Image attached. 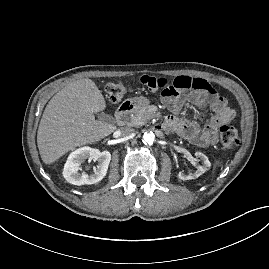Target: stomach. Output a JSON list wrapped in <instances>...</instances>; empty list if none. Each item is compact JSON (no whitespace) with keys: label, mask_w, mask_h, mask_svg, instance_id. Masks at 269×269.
<instances>
[{"label":"stomach","mask_w":269,"mask_h":269,"mask_svg":"<svg viewBox=\"0 0 269 269\" xmlns=\"http://www.w3.org/2000/svg\"><path fill=\"white\" fill-rule=\"evenodd\" d=\"M132 103L138 106H143V105L148 104V100L144 98H138V99H133Z\"/></svg>","instance_id":"stomach-1"}]
</instances>
